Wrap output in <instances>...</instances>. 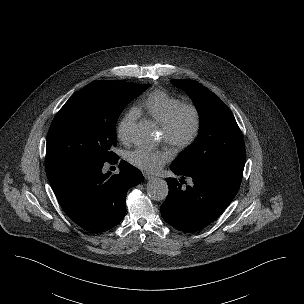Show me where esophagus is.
<instances>
[{
  "instance_id": "esophagus-1",
  "label": "esophagus",
  "mask_w": 304,
  "mask_h": 304,
  "mask_svg": "<svg viewBox=\"0 0 304 304\" xmlns=\"http://www.w3.org/2000/svg\"><path fill=\"white\" fill-rule=\"evenodd\" d=\"M143 176H144V178H145L146 180H150V179H153V178H154V176L151 175V174H149V173H143Z\"/></svg>"
}]
</instances>
